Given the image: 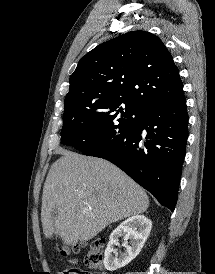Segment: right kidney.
<instances>
[{
  "label": "right kidney",
  "mask_w": 215,
  "mask_h": 274,
  "mask_svg": "<svg viewBox=\"0 0 215 274\" xmlns=\"http://www.w3.org/2000/svg\"><path fill=\"white\" fill-rule=\"evenodd\" d=\"M152 228V222L144 215H135L123 221L110 235L104 254V266L108 271H115L128 265L141 251ZM123 237L124 252L118 255L115 246Z\"/></svg>",
  "instance_id": "right-kidney-1"
}]
</instances>
